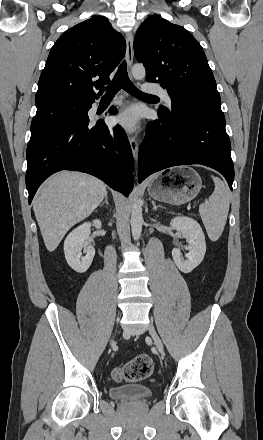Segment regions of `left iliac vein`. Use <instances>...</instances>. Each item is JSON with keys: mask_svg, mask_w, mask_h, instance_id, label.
<instances>
[{"mask_svg": "<svg viewBox=\"0 0 263 440\" xmlns=\"http://www.w3.org/2000/svg\"><path fill=\"white\" fill-rule=\"evenodd\" d=\"M149 333L152 336L153 340H154V344L157 347L158 351L163 354L164 349H163V344L159 338V336L157 335V333L154 330V327L152 325L149 326Z\"/></svg>", "mask_w": 263, "mask_h": 440, "instance_id": "obj_1", "label": "left iliac vein"}]
</instances>
